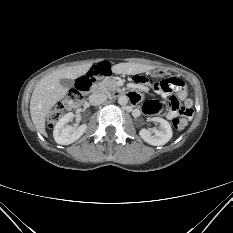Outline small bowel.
I'll list each match as a JSON object with an SVG mask.
<instances>
[{
    "mask_svg": "<svg viewBox=\"0 0 233 233\" xmlns=\"http://www.w3.org/2000/svg\"><path fill=\"white\" fill-rule=\"evenodd\" d=\"M174 80H176L178 83L172 85L170 90H157L161 95L165 96L168 92H170L171 90H174L176 92V99L179 101H185L187 100V89L184 85V83L178 79V78H173ZM134 95V102H137L138 100H140V95L138 93H132ZM148 102H146L143 107H142V112L145 114H153L151 112V110L148 107ZM140 113V110L136 109L134 110V114L138 115ZM177 112L176 111H170L169 112V117H172L174 115H176Z\"/></svg>",
    "mask_w": 233,
    "mask_h": 233,
    "instance_id": "1",
    "label": "small bowel"
}]
</instances>
